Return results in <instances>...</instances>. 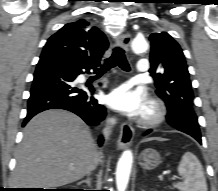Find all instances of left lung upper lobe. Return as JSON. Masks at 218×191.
Masks as SVG:
<instances>
[{"label":"left lung upper lobe","mask_w":218,"mask_h":191,"mask_svg":"<svg viewBox=\"0 0 218 191\" xmlns=\"http://www.w3.org/2000/svg\"><path fill=\"white\" fill-rule=\"evenodd\" d=\"M151 41L150 74L155 80L156 93L165 101L170 122L181 118L184 109L193 114L183 125L186 130L197 131L199 125L193 111V92L188 66L179 44L167 33L156 32Z\"/></svg>","instance_id":"1"}]
</instances>
